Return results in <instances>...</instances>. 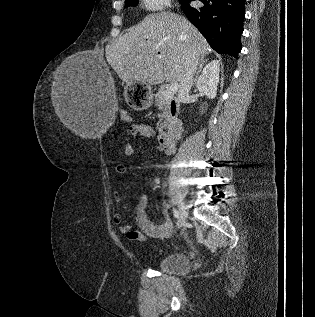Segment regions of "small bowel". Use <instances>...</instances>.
<instances>
[{
    "instance_id": "c3829d8e",
    "label": "small bowel",
    "mask_w": 315,
    "mask_h": 317,
    "mask_svg": "<svg viewBox=\"0 0 315 317\" xmlns=\"http://www.w3.org/2000/svg\"><path fill=\"white\" fill-rule=\"evenodd\" d=\"M127 135L140 136L143 138H154L155 132L151 126L145 123L132 124L126 129ZM135 153V146L131 143H126L119 151L121 156L130 157ZM126 167L124 165H116L114 172L118 175L126 173ZM114 199L117 202L122 200V195L119 192L114 193ZM147 198L142 196L135 208L134 218L140 231L133 230L129 224L123 222V217L120 213L113 215V223L118 228L119 232L126 236L127 239L138 242H145L147 236L154 239L167 238L173 229L171 220L168 217L164 218L161 224H154L149 220L146 214Z\"/></svg>"
}]
</instances>
